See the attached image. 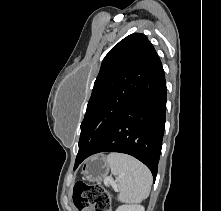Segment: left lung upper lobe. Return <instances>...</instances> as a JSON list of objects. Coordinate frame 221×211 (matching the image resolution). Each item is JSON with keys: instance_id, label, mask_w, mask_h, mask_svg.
<instances>
[{"instance_id": "1", "label": "left lung upper lobe", "mask_w": 221, "mask_h": 211, "mask_svg": "<svg viewBox=\"0 0 221 211\" xmlns=\"http://www.w3.org/2000/svg\"><path fill=\"white\" fill-rule=\"evenodd\" d=\"M158 58L153 45L140 33L127 36L108 52L81 123L76 162L86 156L108 132L139 92Z\"/></svg>"}]
</instances>
